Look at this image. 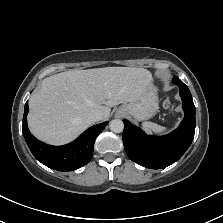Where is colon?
<instances>
[{
  "label": "colon",
  "instance_id": "colon-1",
  "mask_svg": "<svg viewBox=\"0 0 223 223\" xmlns=\"http://www.w3.org/2000/svg\"><path fill=\"white\" fill-rule=\"evenodd\" d=\"M164 106H165V108H170L171 104L169 101H165Z\"/></svg>",
  "mask_w": 223,
  "mask_h": 223
}]
</instances>
